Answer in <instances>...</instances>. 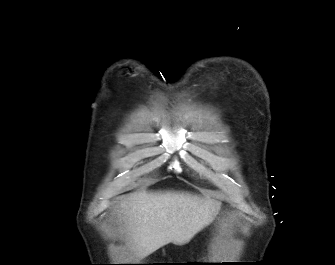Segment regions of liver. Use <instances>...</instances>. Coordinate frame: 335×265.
Returning a JSON list of instances; mask_svg holds the SVG:
<instances>
[{"label":"liver","mask_w":335,"mask_h":265,"mask_svg":"<svg viewBox=\"0 0 335 265\" xmlns=\"http://www.w3.org/2000/svg\"><path fill=\"white\" fill-rule=\"evenodd\" d=\"M129 241L144 258L173 243L182 245L210 224L219 203L189 192H138L122 203Z\"/></svg>","instance_id":"obj_1"}]
</instances>
